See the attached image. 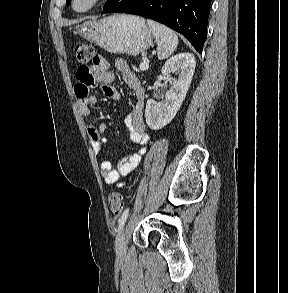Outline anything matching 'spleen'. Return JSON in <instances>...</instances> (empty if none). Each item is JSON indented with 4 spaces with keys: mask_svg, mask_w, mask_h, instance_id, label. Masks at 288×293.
<instances>
[{
    "mask_svg": "<svg viewBox=\"0 0 288 293\" xmlns=\"http://www.w3.org/2000/svg\"><path fill=\"white\" fill-rule=\"evenodd\" d=\"M147 24L156 38L158 59H167L173 54L178 45L176 33L168 27L150 19L147 20Z\"/></svg>",
    "mask_w": 288,
    "mask_h": 293,
    "instance_id": "3e777b00",
    "label": "spleen"
}]
</instances>
